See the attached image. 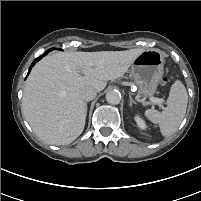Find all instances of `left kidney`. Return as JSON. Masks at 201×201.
Here are the masks:
<instances>
[{
	"instance_id": "1",
	"label": "left kidney",
	"mask_w": 201,
	"mask_h": 201,
	"mask_svg": "<svg viewBox=\"0 0 201 201\" xmlns=\"http://www.w3.org/2000/svg\"><path fill=\"white\" fill-rule=\"evenodd\" d=\"M134 119H135V121H136L137 126H138L141 130H145V129L147 128L145 121H144L139 115H136V116L134 117Z\"/></svg>"
}]
</instances>
